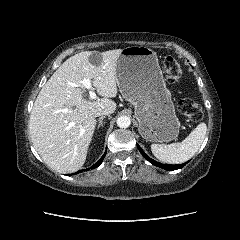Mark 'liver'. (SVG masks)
<instances>
[{
  "label": "liver",
  "mask_w": 240,
  "mask_h": 240,
  "mask_svg": "<svg viewBox=\"0 0 240 240\" xmlns=\"http://www.w3.org/2000/svg\"><path fill=\"white\" fill-rule=\"evenodd\" d=\"M122 49L84 51L67 59L39 92L30 115L31 141L43 161L60 173L79 170L85 163L96 126V113L116 110L111 99L117 95L116 66ZM100 55L98 65L90 58ZM83 79L103 98L83 97Z\"/></svg>",
  "instance_id": "1"
}]
</instances>
